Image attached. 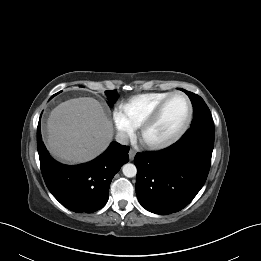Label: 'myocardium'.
<instances>
[{
	"instance_id": "myocardium-1",
	"label": "myocardium",
	"mask_w": 261,
	"mask_h": 261,
	"mask_svg": "<svg viewBox=\"0 0 261 261\" xmlns=\"http://www.w3.org/2000/svg\"><path fill=\"white\" fill-rule=\"evenodd\" d=\"M174 96H182L186 103H187V117L184 122V124L181 126V128L171 135L168 138L161 139V140H149L146 138V133L148 130L156 123L157 119L159 118L161 112L163 111L165 105L167 102ZM193 118V105L188 97L187 94H185L182 91H173L169 93L164 99H162L156 107L152 110V112L147 116V118L143 121V123L139 126V131H138V137L140 143L150 149H162L165 147H168L178 141L189 129L191 122Z\"/></svg>"
}]
</instances>
